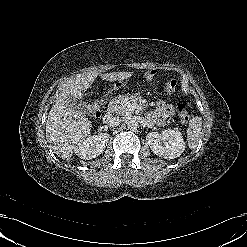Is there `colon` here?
I'll return each mask as SVG.
<instances>
[{
	"label": "colon",
	"instance_id": "obj_1",
	"mask_svg": "<svg viewBox=\"0 0 247 247\" xmlns=\"http://www.w3.org/2000/svg\"><path fill=\"white\" fill-rule=\"evenodd\" d=\"M177 88V81L175 79H168L165 83H164V91L167 94H173L175 93ZM90 116L93 118H96L99 116L100 114V108L99 106H94L92 107V109L89 112ZM176 114L178 116V118L186 123L189 121L190 119V115L189 112L186 108V106L184 104H179L176 108Z\"/></svg>",
	"mask_w": 247,
	"mask_h": 247
}]
</instances>
